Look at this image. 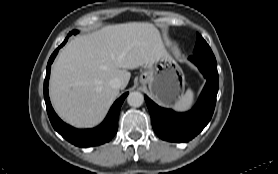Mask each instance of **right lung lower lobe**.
Segmentation results:
<instances>
[{
	"instance_id": "98d812e1",
	"label": "right lung lower lobe",
	"mask_w": 278,
	"mask_h": 174,
	"mask_svg": "<svg viewBox=\"0 0 278 174\" xmlns=\"http://www.w3.org/2000/svg\"><path fill=\"white\" fill-rule=\"evenodd\" d=\"M67 41L64 42L53 52L51 55L47 68H46V78L44 81V99L46 103L47 113L53 128L67 141L79 146V147H90L95 145H100L105 142L110 141L117 132L118 118L121 105L128 95V93L123 94L111 107L104 122L96 128L80 130L73 128L65 124L54 112L49 95H48V81L50 76L51 64L56 57L59 48H61Z\"/></svg>"
}]
</instances>
